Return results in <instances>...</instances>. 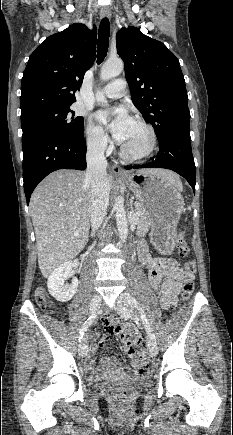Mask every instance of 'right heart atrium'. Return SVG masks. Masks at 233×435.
Returning a JSON list of instances; mask_svg holds the SVG:
<instances>
[{"label":"right heart atrium","instance_id":"right-heart-atrium-1","mask_svg":"<svg viewBox=\"0 0 233 435\" xmlns=\"http://www.w3.org/2000/svg\"><path fill=\"white\" fill-rule=\"evenodd\" d=\"M86 145L89 151L96 155L106 153L110 148V140L102 129L88 123L86 127Z\"/></svg>","mask_w":233,"mask_h":435}]
</instances>
